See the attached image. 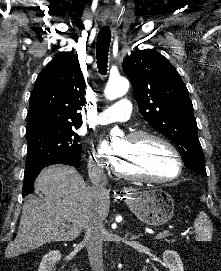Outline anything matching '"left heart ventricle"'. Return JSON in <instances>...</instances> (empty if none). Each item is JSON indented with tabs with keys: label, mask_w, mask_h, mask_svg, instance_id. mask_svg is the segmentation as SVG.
Instances as JSON below:
<instances>
[{
	"label": "left heart ventricle",
	"mask_w": 221,
	"mask_h": 271,
	"mask_svg": "<svg viewBox=\"0 0 221 271\" xmlns=\"http://www.w3.org/2000/svg\"><path fill=\"white\" fill-rule=\"evenodd\" d=\"M156 138H146L134 141L138 149L137 156H120L114 160V168H118V175H147L148 177H177L176 166H173L170 153L171 147L157 144Z\"/></svg>",
	"instance_id": "b2bd125f"
}]
</instances>
